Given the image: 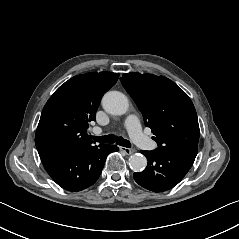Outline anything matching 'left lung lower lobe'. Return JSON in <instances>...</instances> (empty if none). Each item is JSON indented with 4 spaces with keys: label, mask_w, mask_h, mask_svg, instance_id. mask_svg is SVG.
I'll use <instances>...</instances> for the list:
<instances>
[{
    "label": "left lung lower lobe",
    "mask_w": 239,
    "mask_h": 239,
    "mask_svg": "<svg viewBox=\"0 0 239 239\" xmlns=\"http://www.w3.org/2000/svg\"><path fill=\"white\" fill-rule=\"evenodd\" d=\"M147 158V167L134 173L135 181L142 187L162 192L177 185L191 168L198 149L170 148L141 151Z\"/></svg>",
    "instance_id": "1"
}]
</instances>
